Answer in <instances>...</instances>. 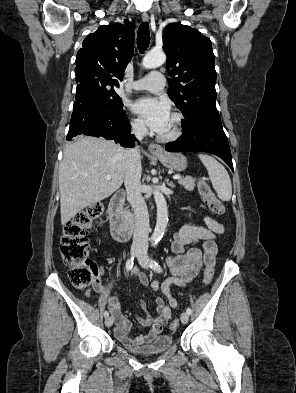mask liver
Returning a JSON list of instances; mask_svg holds the SVG:
<instances>
[{"instance_id":"1","label":"liver","mask_w":296,"mask_h":393,"mask_svg":"<svg viewBox=\"0 0 296 393\" xmlns=\"http://www.w3.org/2000/svg\"><path fill=\"white\" fill-rule=\"evenodd\" d=\"M124 152L113 141L91 136H79L66 145L59 168L63 226L78 212L121 187L125 179ZM107 175H111L110 180H106Z\"/></svg>"}]
</instances>
